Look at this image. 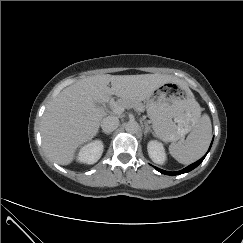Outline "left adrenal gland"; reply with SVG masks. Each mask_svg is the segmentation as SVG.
<instances>
[{
  "label": "left adrenal gland",
  "mask_w": 243,
  "mask_h": 243,
  "mask_svg": "<svg viewBox=\"0 0 243 243\" xmlns=\"http://www.w3.org/2000/svg\"><path fill=\"white\" fill-rule=\"evenodd\" d=\"M152 132V130L150 129V127L148 126V124H145V131H144V135L145 137L147 136L148 133Z\"/></svg>",
  "instance_id": "a2214340"
}]
</instances>
